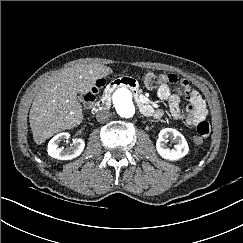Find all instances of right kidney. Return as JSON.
<instances>
[{"mask_svg":"<svg viewBox=\"0 0 243 243\" xmlns=\"http://www.w3.org/2000/svg\"><path fill=\"white\" fill-rule=\"evenodd\" d=\"M70 134L67 132L55 135L48 143V154L56 159L71 160L78 157L85 147V142L82 139H75L72 145L68 148L59 147L62 141L68 140Z\"/></svg>","mask_w":243,"mask_h":243,"instance_id":"obj_1","label":"right kidney"}]
</instances>
